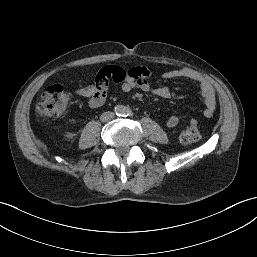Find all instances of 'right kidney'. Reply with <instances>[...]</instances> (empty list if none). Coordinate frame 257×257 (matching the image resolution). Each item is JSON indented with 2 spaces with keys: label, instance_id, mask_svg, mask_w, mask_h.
<instances>
[{
  "label": "right kidney",
  "instance_id": "1",
  "mask_svg": "<svg viewBox=\"0 0 257 257\" xmlns=\"http://www.w3.org/2000/svg\"><path fill=\"white\" fill-rule=\"evenodd\" d=\"M73 135H74L73 133H70V132H69V133L66 134V137H67V138H72Z\"/></svg>",
  "mask_w": 257,
  "mask_h": 257
}]
</instances>
